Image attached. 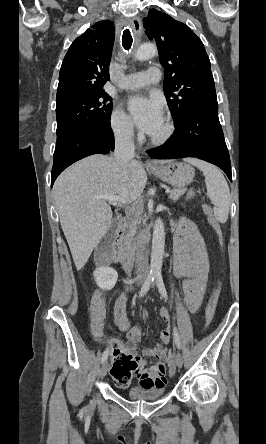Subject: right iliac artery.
Listing matches in <instances>:
<instances>
[{
    "mask_svg": "<svg viewBox=\"0 0 266 444\" xmlns=\"http://www.w3.org/2000/svg\"><path fill=\"white\" fill-rule=\"evenodd\" d=\"M154 278H155L154 274L150 273L148 275L147 279L145 280V282L139 292V297H143L147 293V291L150 288L151 283L154 281ZM108 353H109V349H106L102 355L101 363H103L107 359Z\"/></svg>",
    "mask_w": 266,
    "mask_h": 444,
    "instance_id": "1",
    "label": "right iliac artery"
}]
</instances>
